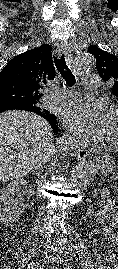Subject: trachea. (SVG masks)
<instances>
[{"instance_id": "trachea-1", "label": "trachea", "mask_w": 118, "mask_h": 269, "mask_svg": "<svg viewBox=\"0 0 118 269\" xmlns=\"http://www.w3.org/2000/svg\"><path fill=\"white\" fill-rule=\"evenodd\" d=\"M55 66L61 74L67 85L73 86L76 84V79L71 70L68 68L64 54L60 57L54 56Z\"/></svg>"}]
</instances>
